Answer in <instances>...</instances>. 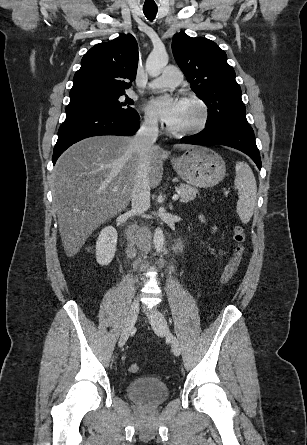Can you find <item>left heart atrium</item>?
<instances>
[{"mask_svg":"<svg viewBox=\"0 0 307 445\" xmlns=\"http://www.w3.org/2000/svg\"><path fill=\"white\" fill-rule=\"evenodd\" d=\"M185 100L174 93L160 92L147 102V108L171 125L182 113Z\"/></svg>","mask_w":307,"mask_h":445,"instance_id":"39dd6f15","label":"left heart atrium"}]
</instances>
